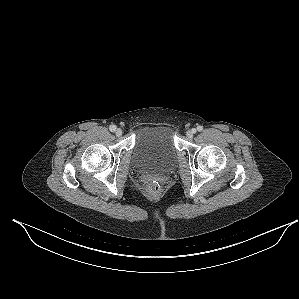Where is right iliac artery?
<instances>
[{"label":"right iliac artery","mask_w":299,"mask_h":299,"mask_svg":"<svg viewBox=\"0 0 299 299\" xmlns=\"http://www.w3.org/2000/svg\"><path fill=\"white\" fill-rule=\"evenodd\" d=\"M109 129L111 132H114L116 130V125H110Z\"/></svg>","instance_id":"right-iliac-artery-1"}]
</instances>
